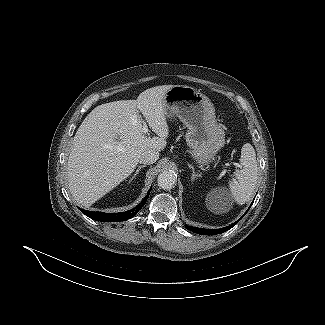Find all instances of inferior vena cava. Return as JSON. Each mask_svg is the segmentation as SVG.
Wrapping results in <instances>:
<instances>
[{
	"instance_id": "1",
	"label": "inferior vena cava",
	"mask_w": 325,
	"mask_h": 325,
	"mask_svg": "<svg viewBox=\"0 0 325 325\" xmlns=\"http://www.w3.org/2000/svg\"><path fill=\"white\" fill-rule=\"evenodd\" d=\"M159 158V153L155 150H146L141 153L139 157V162L142 164H153Z\"/></svg>"
}]
</instances>
